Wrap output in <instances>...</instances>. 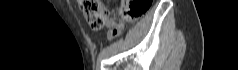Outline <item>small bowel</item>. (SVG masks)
<instances>
[{
	"label": "small bowel",
	"mask_w": 238,
	"mask_h": 70,
	"mask_svg": "<svg viewBox=\"0 0 238 70\" xmlns=\"http://www.w3.org/2000/svg\"><path fill=\"white\" fill-rule=\"evenodd\" d=\"M107 26L110 28L109 37L119 34L123 28L122 24H118L115 21H113L112 19L107 20ZM115 29L117 30V33L114 32Z\"/></svg>",
	"instance_id": "c3829d8e"
}]
</instances>
